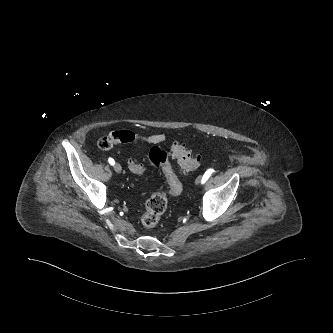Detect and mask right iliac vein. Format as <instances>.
<instances>
[{
	"label": "right iliac vein",
	"instance_id": "63e3f726",
	"mask_svg": "<svg viewBox=\"0 0 333 333\" xmlns=\"http://www.w3.org/2000/svg\"><path fill=\"white\" fill-rule=\"evenodd\" d=\"M114 170H115V172L116 173H121L122 172V167H121V165L119 164V163H115L114 164Z\"/></svg>",
	"mask_w": 333,
	"mask_h": 333
}]
</instances>
